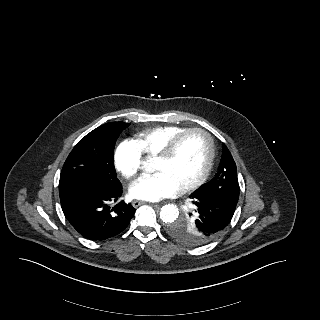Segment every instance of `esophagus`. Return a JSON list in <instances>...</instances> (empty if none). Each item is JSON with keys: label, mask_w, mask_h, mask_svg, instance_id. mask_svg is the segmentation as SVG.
<instances>
[{"label": "esophagus", "mask_w": 320, "mask_h": 320, "mask_svg": "<svg viewBox=\"0 0 320 320\" xmlns=\"http://www.w3.org/2000/svg\"><path fill=\"white\" fill-rule=\"evenodd\" d=\"M146 202H144V201H140V200H134L133 202H132V205H133V207H138V206H140V205H142V204H145Z\"/></svg>", "instance_id": "obj_1"}]
</instances>
